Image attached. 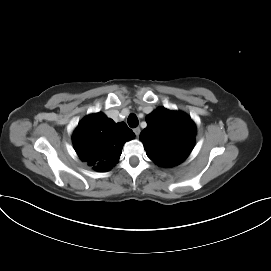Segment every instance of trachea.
I'll return each instance as SVG.
<instances>
[{
	"instance_id": "1",
	"label": "trachea",
	"mask_w": 271,
	"mask_h": 271,
	"mask_svg": "<svg viewBox=\"0 0 271 271\" xmlns=\"http://www.w3.org/2000/svg\"><path fill=\"white\" fill-rule=\"evenodd\" d=\"M127 122L131 128H135L138 126V118L135 114H130Z\"/></svg>"
}]
</instances>
